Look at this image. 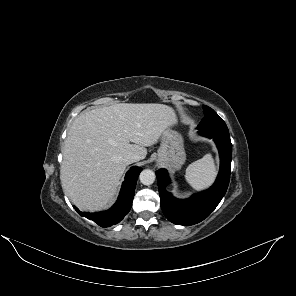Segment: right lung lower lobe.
I'll return each instance as SVG.
<instances>
[{
  "mask_svg": "<svg viewBox=\"0 0 296 296\" xmlns=\"http://www.w3.org/2000/svg\"><path fill=\"white\" fill-rule=\"evenodd\" d=\"M141 168L132 167L125 176L122 184L120 196L112 208L107 211L97 213L81 212L76 207V211L83 217L93 220L101 227H110L120 222L130 211L134 198L135 187Z\"/></svg>",
  "mask_w": 296,
  "mask_h": 296,
  "instance_id": "obj_1",
  "label": "right lung lower lobe"
}]
</instances>
